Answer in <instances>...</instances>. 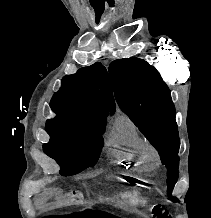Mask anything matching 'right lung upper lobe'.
Instances as JSON below:
<instances>
[{
    "label": "right lung upper lobe",
    "instance_id": "right-lung-upper-lobe-1",
    "mask_svg": "<svg viewBox=\"0 0 211 218\" xmlns=\"http://www.w3.org/2000/svg\"><path fill=\"white\" fill-rule=\"evenodd\" d=\"M55 118L106 124L108 111H115L109 76L101 63L81 68L62 79V87L50 102Z\"/></svg>",
    "mask_w": 211,
    "mask_h": 218
}]
</instances>
